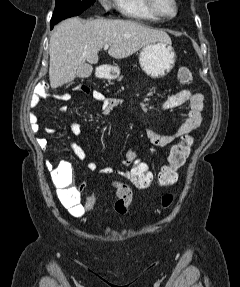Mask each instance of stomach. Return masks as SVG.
Listing matches in <instances>:
<instances>
[{"mask_svg": "<svg viewBox=\"0 0 240 287\" xmlns=\"http://www.w3.org/2000/svg\"><path fill=\"white\" fill-rule=\"evenodd\" d=\"M176 54L171 42L156 41L145 45L139 55L142 70L152 78H162L174 67ZM118 67L111 68V76L117 77Z\"/></svg>", "mask_w": 240, "mask_h": 287, "instance_id": "0dacf381", "label": "stomach"}]
</instances>
